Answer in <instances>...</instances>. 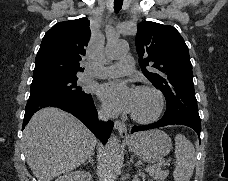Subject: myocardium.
<instances>
[{
  "label": "myocardium",
  "instance_id": "myocardium-1",
  "mask_svg": "<svg viewBox=\"0 0 228 181\" xmlns=\"http://www.w3.org/2000/svg\"><path fill=\"white\" fill-rule=\"evenodd\" d=\"M136 90H148L155 96L156 105L154 110L147 116H141L136 113L132 114V118L140 123H150L154 121L161 114L164 107V96L162 92L151 85H137Z\"/></svg>",
  "mask_w": 228,
  "mask_h": 181
}]
</instances>
